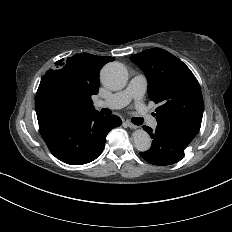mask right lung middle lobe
<instances>
[{
	"label": "right lung middle lobe",
	"instance_id": "1",
	"mask_svg": "<svg viewBox=\"0 0 232 232\" xmlns=\"http://www.w3.org/2000/svg\"><path fill=\"white\" fill-rule=\"evenodd\" d=\"M56 93L59 96H65L67 94V89L63 85H58L56 87Z\"/></svg>",
	"mask_w": 232,
	"mask_h": 232
}]
</instances>
